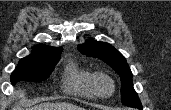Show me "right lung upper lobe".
Here are the masks:
<instances>
[{"label":"right lung upper lobe","instance_id":"cb5924a9","mask_svg":"<svg viewBox=\"0 0 171 110\" xmlns=\"http://www.w3.org/2000/svg\"><path fill=\"white\" fill-rule=\"evenodd\" d=\"M33 52L29 58L48 59L60 56L62 47H50L45 45H36L33 48ZM27 58V57H26Z\"/></svg>","mask_w":171,"mask_h":110}]
</instances>
